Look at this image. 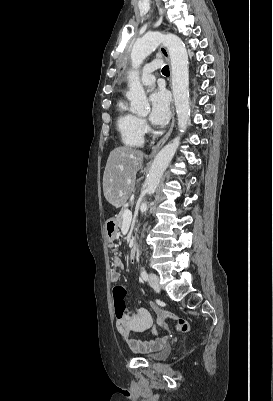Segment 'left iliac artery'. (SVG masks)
<instances>
[{
	"label": "left iliac artery",
	"instance_id": "left-iliac-artery-1",
	"mask_svg": "<svg viewBox=\"0 0 273 401\" xmlns=\"http://www.w3.org/2000/svg\"><path fill=\"white\" fill-rule=\"evenodd\" d=\"M141 277H142L143 280H147L148 279V274H147L145 269L142 270Z\"/></svg>",
	"mask_w": 273,
	"mask_h": 401
}]
</instances>
